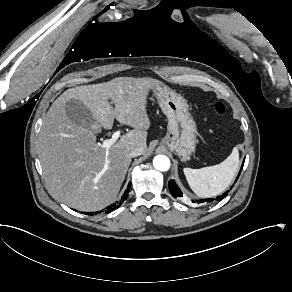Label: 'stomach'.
<instances>
[{"label": "stomach", "instance_id": "obj_1", "mask_svg": "<svg viewBox=\"0 0 292 292\" xmlns=\"http://www.w3.org/2000/svg\"><path fill=\"white\" fill-rule=\"evenodd\" d=\"M162 112L167 116L168 127L161 144L186 161L196 149L197 127L188 111L186 100L169 92L160 83L155 89Z\"/></svg>", "mask_w": 292, "mask_h": 292}]
</instances>
